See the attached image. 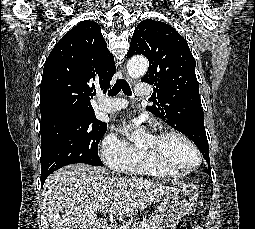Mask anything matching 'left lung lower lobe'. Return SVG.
Returning a JSON list of instances; mask_svg holds the SVG:
<instances>
[{
	"instance_id": "0a47b994",
	"label": "left lung lower lobe",
	"mask_w": 255,
	"mask_h": 229,
	"mask_svg": "<svg viewBox=\"0 0 255 229\" xmlns=\"http://www.w3.org/2000/svg\"><path fill=\"white\" fill-rule=\"evenodd\" d=\"M194 117H195V121H196V124L197 126L199 127L200 130L202 131H205V128H204V115H203V111H197L195 114H194ZM206 162L208 163L209 165V158H205ZM207 172L208 174L211 175V169L210 167L207 169Z\"/></svg>"
}]
</instances>
